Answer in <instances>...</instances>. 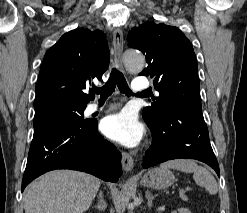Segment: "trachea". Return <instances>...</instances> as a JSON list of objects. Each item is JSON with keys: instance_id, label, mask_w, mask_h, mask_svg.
Returning <instances> with one entry per match:
<instances>
[{"instance_id": "3493384b", "label": "trachea", "mask_w": 247, "mask_h": 213, "mask_svg": "<svg viewBox=\"0 0 247 213\" xmlns=\"http://www.w3.org/2000/svg\"><path fill=\"white\" fill-rule=\"evenodd\" d=\"M116 86L118 87L121 93L126 95H132L125 77L123 74L118 71L116 68H113L110 74L108 81L101 88H93L92 91L100 94L101 99H107L115 90Z\"/></svg>"}]
</instances>
